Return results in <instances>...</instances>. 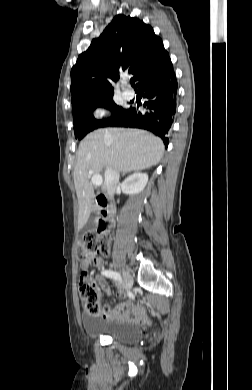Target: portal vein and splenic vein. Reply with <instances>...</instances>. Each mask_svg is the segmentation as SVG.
<instances>
[{"mask_svg": "<svg viewBox=\"0 0 252 390\" xmlns=\"http://www.w3.org/2000/svg\"><path fill=\"white\" fill-rule=\"evenodd\" d=\"M93 172L90 170L89 175H92ZM91 182L94 186H100L103 182L102 176L100 174H93Z\"/></svg>", "mask_w": 252, "mask_h": 390, "instance_id": "portal-vein-and-splenic-vein-1", "label": "portal vein and splenic vein"}]
</instances>
